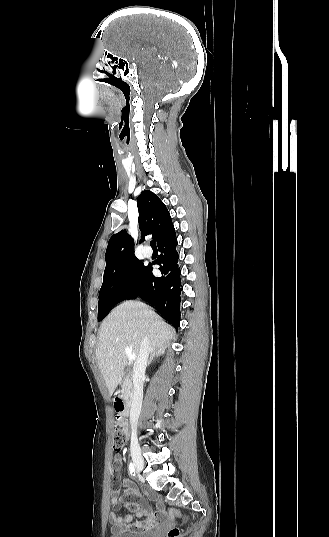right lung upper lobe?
<instances>
[{
	"label": "right lung upper lobe",
	"instance_id": "cb5924a9",
	"mask_svg": "<svg viewBox=\"0 0 329 537\" xmlns=\"http://www.w3.org/2000/svg\"><path fill=\"white\" fill-rule=\"evenodd\" d=\"M139 210V228L144 236L152 235L157 243L174 229L171 216L166 206L150 190L143 191L137 198ZM136 258L134 255V240L126 230L114 234L106 250V266Z\"/></svg>",
	"mask_w": 329,
	"mask_h": 537
}]
</instances>
